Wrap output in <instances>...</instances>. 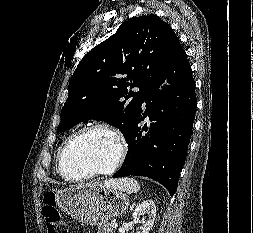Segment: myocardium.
<instances>
[{"instance_id": "obj_1", "label": "myocardium", "mask_w": 253, "mask_h": 233, "mask_svg": "<svg viewBox=\"0 0 253 233\" xmlns=\"http://www.w3.org/2000/svg\"><path fill=\"white\" fill-rule=\"evenodd\" d=\"M98 130L110 133L117 141L118 153L114 162L108 168L93 170L81 176L71 177V176L66 175L63 169V162H64L65 154L68 148L70 147V145L81 136L89 132L98 131ZM127 152H128L127 140L123 132L118 127L108 124V123H102V122L93 123V124L82 127L66 140L58 156V164H57L58 173L61 175L63 179L69 182H80V181L87 180L95 176L110 175L114 173L122 165V163L124 162L127 156Z\"/></svg>"}]
</instances>
